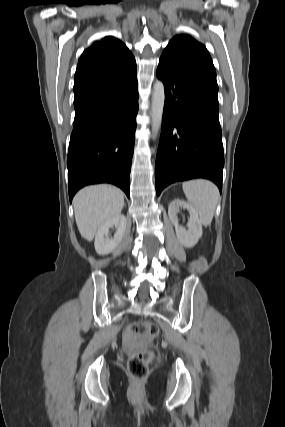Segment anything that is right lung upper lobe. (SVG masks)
Segmentation results:
<instances>
[{
  "label": "right lung upper lobe",
  "mask_w": 285,
  "mask_h": 427,
  "mask_svg": "<svg viewBox=\"0 0 285 427\" xmlns=\"http://www.w3.org/2000/svg\"><path fill=\"white\" fill-rule=\"evenodd\" d=\"M135 73L136 61L129 49L115 37H104L86 49L79 59L74 101Z\"/></svg>",
  "instance_id": "1"
}]
</instances>
